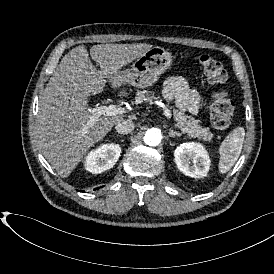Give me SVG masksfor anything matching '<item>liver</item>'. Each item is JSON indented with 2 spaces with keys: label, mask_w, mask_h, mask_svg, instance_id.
<instances>
[{
  "label": "liver",
  "mask_w": 274,
  "mask_h": 274,
  "mask_svg": "<svg viewBox=\"0 0 274 274\" xmlns=\"http://www.w3.org/2000/svg\"><path fill=\"white\" fill-rule=\"evenodd\" d=\"M152 47L144 43L96 44L88 52L79 45L60 61L39 101L36 134L43 155L62 178L70 177L89 151L124 119L122 114L101 116L87 125L89 98L101 94L106 83L120 86L123 67Z\"/></svg>",
  "instance_id": "obj_1"
}]
</instances>
